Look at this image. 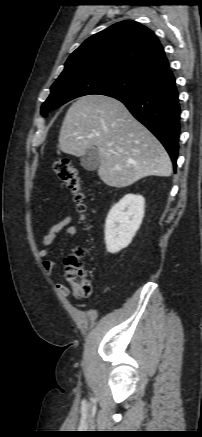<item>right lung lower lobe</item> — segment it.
I'll return each instance as SVG.
<instances>
[{
    "mask_svg": "<svg viewBox=\"0 0 202 437\" xmlns=\"http://www.w3.org/2000/svg\"><path fill=\"white\" fill-rule=\"evenodd\" d=\"M178 95L174 75L168 69L135 93L113 96L160 140L172 159L174 170L179 150L181 111Z\"/></svg>",
    "mask_w": 202,
    "mask_h": 437,
    "instance_id": "98d812e1",
    "label": "right lung lower lobe"
}]
</instances>
